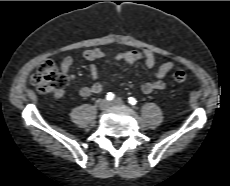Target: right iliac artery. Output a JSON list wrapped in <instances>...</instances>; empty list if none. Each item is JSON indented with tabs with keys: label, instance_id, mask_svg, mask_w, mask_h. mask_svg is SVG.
<instances>
[{
	"label": "right iliac artery",
	"instance_id": "right-iliac-artery-1",
	"mask_svg": "<svg viewBox=\"0 0 230 186\" xmlns=\"http://www.w3.org/2000/svg\"><path fill=\"white\" fill-rule=\"evenodd\" d=\"M114 97H115V95L112 93V92H109V93H107V95H106V99L107 100H113L114 99Z\"/></svg>",
	"mask_w": 230,
	"mask_h": 186
}]
</instances>
